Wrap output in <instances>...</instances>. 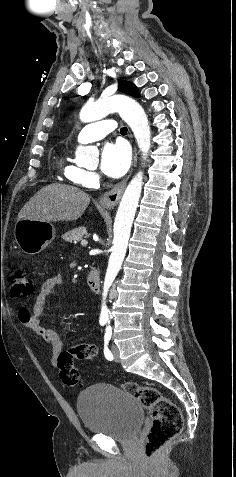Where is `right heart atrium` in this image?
I'll list each match as a JSON object with an SVG mask.
<instances>
[{"mask_svg":"<svg viewBox=\"0 0 236 477\" xmlns=\"http://www.w3.org/2000/svg\"><path fill=\"white\" fill-rule=\"evenodd\" d=\"M98 180V175L95 172H88V175L85 180V185H92Z\"/></svg>","mask_w":236,"mask_h":477,"instance_id":"right-heart-atrium-1","label":"right heart atrium"}]
</instances>
